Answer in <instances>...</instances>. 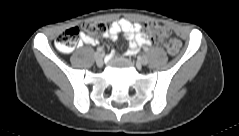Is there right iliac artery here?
Listing matches in <instances>:
<instances>
[{
  "label": "right iliac artery",
  "mask_w": 239,
  "mask_h": 136,
  "mask_svg": "<svg viewBox=\"0 0 239 136\" xmlns=\"http://www.w3.org/2000/svg\"><path fill=\"white\" fill-rule=\"evenodd\" d=\"M97 51H98V52H102V51H103V48H102V47H98V48H97Z\"/></svg>",
  "instance_id": "1"
}]
</instances>
